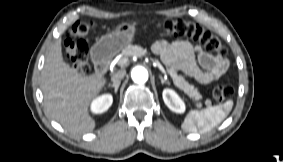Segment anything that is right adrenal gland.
I'll list each match as a JSON object with an SVG mask.
<instances>
[{
    "label": "right adrenal gland",
    "instance_id": "2a0ac1e0",
    "mask_svg": "<svg viewBox=\"0 0 283 162\" xmlns=\"http://www.w3.org/2000/svg\"><path fill=\"white\" fill-rule=\"evenodd\" d=\"M119 86H120V83H118V84H109V85H108V87L114 88L115 94H117V91H118Z\"/></svg>",
    "mask_w": 283,
    "mask_h": 162
}]
</instances>
